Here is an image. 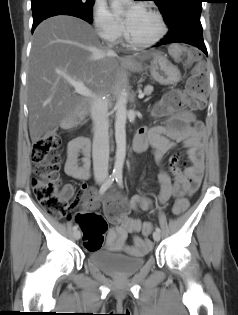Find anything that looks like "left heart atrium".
<instances>
[{
    "mask_svg": "<svg viewBox=\"0 0 238 315\" xmlns=\"http://www.w3.org/2000/svg\"><path fill=\"white\" fill-rule=\"evenodd\" d=\"M113 4L115 7L119 6L121 4L120 0H114ZM140 7L137 4H131L125 13V23L128 26L133 19V17L140 11Z\"/></svg>",
    "mask_w": 238,
    "mask_h": 315,
    "instance_id": "39dd6f15",
    "label": "left heart atrium"
}]
</instances>
